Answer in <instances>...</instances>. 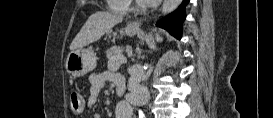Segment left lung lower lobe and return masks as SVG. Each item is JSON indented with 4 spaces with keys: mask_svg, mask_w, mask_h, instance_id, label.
Listing matches in <instances>:
<instances>
[{
    "mask_svg": "<svg viewBox=\"0 0 273 118\" xmlns=\"http://www.w3.org/2000/svg\"><path fill=\"white\" fill-rule=\"evenodd\" d=\"M189 0H183L181 5L171 14L165 18L159 20L156 23V26L167 30L172 36L177 39L182 37V24L186 18L185 7L188 4Z\"/></svg>",
    "mask_w": 273,
    "mask_h": 118,
    "instance_id": "left-lung-lower-lobe-1",
    "label": "left lung lower lobe"
}]
</instances>
